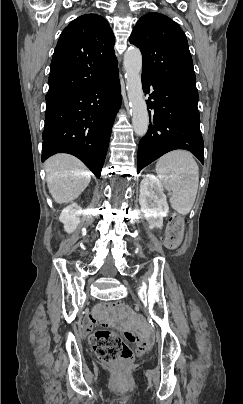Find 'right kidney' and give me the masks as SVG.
Returning a JSON list of instances; mask_svg holds the SVG:
<instances>
[{
	"instance_id": "1",
	"label": "right kidney",
	"mask_w": 243,
	"mask_h": 404,
	"mask_svg": "<svg viewBox=\"0 0 243 404\" xmlns=\"http://www.w3.org/2000/svg\"><path fill=\"white\" fill-rule=\"evenodd\" d=\"M82 214V208L78 206V204H70V206H67V208H64L62 210L59 220L64 224V230L65 232H68V234H71V232H74L76 230L78 224H80V218Z\"/></svg>"
}]
</instances>
